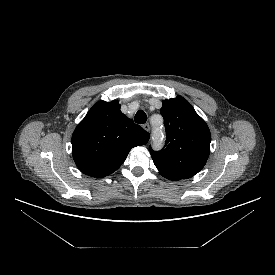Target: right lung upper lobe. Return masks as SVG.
Instances as JSON below:
<instances>
[{
    "mask_svg": "<svg viewBox=\"0 0 275 275\" xmlns=\"http://www.w3.org/2000/svg\"><path fill=\"white\" fill-rule=\"evenodd\" d=\"M149 133L120 110L117 100L97 102L72 135V155L86 175L105 177L125 161L131 148L144 145Z\"/></svg>",
    "mask_w": 275,
    "mask_h": 275,
    "instance_id": "obj_1",
    "label": "right lung upper lobe"
}]
</instances>
